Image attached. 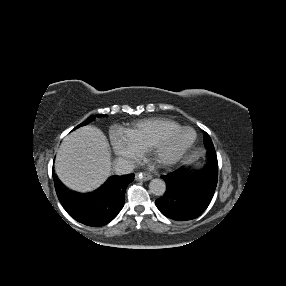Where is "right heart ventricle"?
I'll list each match as a JSON object with an SVG mask.
<instances>
[{"label":"right heart ventricle","instance_id":"1","mask_svg":"<svg viewBox=\"0 0 286 286\" xmlns=\"http://www.w3.org/2000/svg\"><path fill=\"white\" fill-rule=\"evenodd\" d=\"M181 127V124L168 118H148L132 124L127 129V133L142 150H146L157 140L170 135Z\"/></svg>","mask_w":286,"mask_h":286}]
</instances>
